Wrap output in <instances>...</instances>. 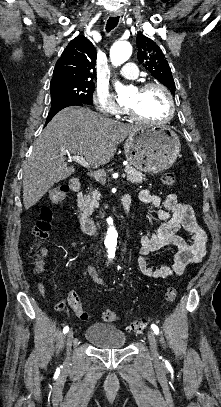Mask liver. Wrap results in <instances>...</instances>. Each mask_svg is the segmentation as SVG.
Returning <instances> with one entry per match:
<instances>
[{
    "instance_id": "6515ba94",
    "label": "liver",
    "mask_w": 221,
    "mask_h": 407,
    "mask_svg": "<svg viewBox=\"0 0 221 407\" xmlns=\"http://www.w3.org/2000/svg\"><path fill=\"white\" fill-rule=\"evenodd\" d=\"M138 127L101 116L85 107L57 113L34 143L23 169V204L28 210L58 182L70 177L66 155L84 157L97 168L115 155L117 145Z\"/></svg>"
}]
</instances>
